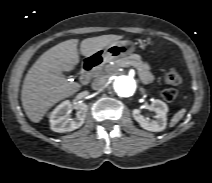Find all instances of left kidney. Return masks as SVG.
I'll return each instance as SVG.
<instances>
[{"instance_id": "left-kidney-1", "label": "left kidney", "mask_w": 212, "mask_h": 183, "mask_svg": "<svg viewBox=\"0 0 212 183\" xmlns=\"http://www.w3.org/2000/svg\"><path fill=\"white\" fill-rule=\"evenodd\" d=\"M151 108L155 112V120H148L140 114L138 109L132 111L133 118L145 130L153 132L163 131L167 124V105L161 100H154L151 104Z\"/></svg>"}]
</instances>
